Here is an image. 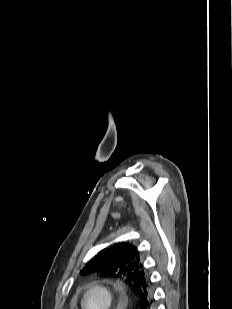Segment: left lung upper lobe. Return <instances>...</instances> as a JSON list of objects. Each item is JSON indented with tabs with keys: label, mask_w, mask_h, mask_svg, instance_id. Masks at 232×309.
Returning a JSON list of instances; mask_svg holds the SVG:
<instances>
[{
	"label": "left lung upper lobe",
	"mask_w": 232,
	"mask_h": 309,
	"mask_svg": "<svg viewBox=\"0 0 232 309\" xmlns=\"http://www.w3.org/2000/svg\"><path fill=\"white\" fill-rule=\"evenodd\" d=\"M82 275L97 274L101 277L123 281L131 295L140 302L152 297L151 285L146 277L137 247L128 242H119L101 250L80 271Z\"/></svg>",
	"instance_id": "1"
}]
</instances>
